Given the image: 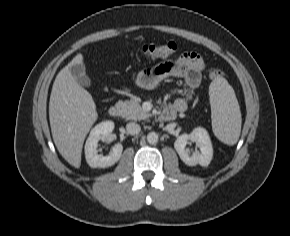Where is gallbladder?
Segmentation results:
<instances>
[{"label":"gallbladder","instance_id":"gallbladder-1","mask_svg":"<svg viewBox=\"0 0 290 236\" xmlns=\"http://www.w3.org/2000/svg\"><path fill=\"white\" fill-rule=\"evenodd\" d=\"M70 72L74 79L82 86H91V79L88 77L83 64H76L70 68Z\"/></svg>","mask_w":290,"mask_h":236}]
</instances>
